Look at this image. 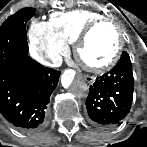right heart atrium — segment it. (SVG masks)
Returning a JSON list of instances; mask_svg holds the SVG:
<instances>
[{"label":"right heart atrium","mask_w":147,"mask_h":147,"mask_svg":"<svg viewBox=\"0 0 147 147\" xmlns=\"http://www.w3.org/2000/svg\"><path fill=\"white\" fill-rule=\"evenodd\" d=\"M30 52L39 62L53 65L64 46L46 31V24L36 22L29 30Z\"/></svg>","instance_id":"obj_1"}]
</instances>
